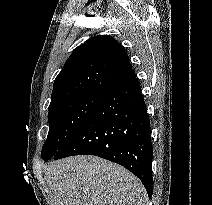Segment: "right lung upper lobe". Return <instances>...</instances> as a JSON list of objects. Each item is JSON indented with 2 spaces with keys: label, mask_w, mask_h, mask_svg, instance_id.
<instances>
[{
  "label": "right lung upper lobe",
  "mask_w": 212,
  "mask_h": 205,
  "mask_svg": "<svg viewBox=\"0 0 212 205\" xmlns=\"http://www.w3.org/2000/svg\"><path fill=\"white\" fill-rule=\"evenodd\" d=\"M131 69L128 55L114 38L94 36L72 52L56 77L49 109L76 97L102 93Z\"/></svg>",
  "instance_id": "right-lung-upper-lobe-1"
}]
</instances>
